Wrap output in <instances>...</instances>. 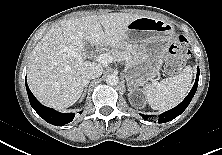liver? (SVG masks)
<instances>
[{"mask_svg": "<svg viewBox=\"0 0 222 155\" xmlns=\"http://www.w3.org/2000/svg\"><path fill=\"white\" fill-rule=\"evenodd\" d=\"M141 16L109 13L63 20L37 43L30 57L28 85L43 104L63 110L82 95L90 61L82 58L85 44L119 49L126 45L127 27Z\"/></svg>", "mask_w": 222, "mask_h": 155, "instance_id": "1", "label": "liver"}]
</instances>
